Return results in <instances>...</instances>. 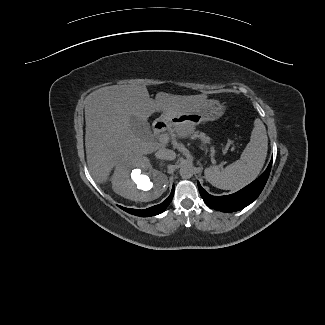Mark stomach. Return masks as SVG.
Returning <instances> with one entry per match:
<instances>
[{"label": "stomach", "mask_w": 325, "mask_h": 325, "mask_svg": "<svg viewBox=\"0 0 325 325\" xmlns=\"http://www.w3.org/2000/svg\"><path fill=\"white\" fill-rule=\"evenodd\" d=\"M225 111V107L218 100H206L189 112L177 115L162 114L161 121L170 125H197L202 121H214L220 118Z\"/></svg>", "instance_id": "stomach-1"}]
</instances>
